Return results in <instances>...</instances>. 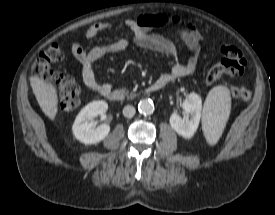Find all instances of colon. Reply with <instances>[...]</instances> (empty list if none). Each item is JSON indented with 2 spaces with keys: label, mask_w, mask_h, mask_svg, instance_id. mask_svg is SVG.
Returning <instances> with one entry per match:
<instances>
[{
  "label": "colon",
  "mask_w": 275,
  "mask_h": 215,
  "mask_svg": "<svg viewBox=\"0 0 275 215\" xmlns=\"http://www.w3.org/2000/svg\"><path fill=\"white\" fill-rule=\"evenodd\" d=\"M172 23L178 25L182 23V20L172 19ZM218 49L222 59L220 63L208 70L205 76L208 84L217 83L222 75L240 76L247 66V60L237 47L222 44ZM63 57L64 54L61 47L58 44H51L36 59L32 70L36 76L56 85L60 109L70 112L75 110L80 104L81 88L74 79L51 69V65L62 60ZM232 93L237 99L242 101H247L251 97V91L244 87L233 88Z\"/></svg>",
  "instance_id": "5ec220e1"
}]
</instances>
